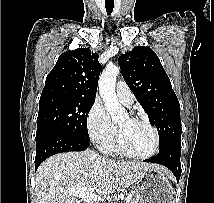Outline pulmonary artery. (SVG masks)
I'll return each mask as SVG.
<instances>
[{
	"label": "pulmonary artery",
	"instance_id": "e3ab8cb5",
	"mask_svg": "<svg viewBox=\"0 0 214 203\" xmlns=\"http://www.w3.org/2000/svg\"><path fill=\"white\" fill-rule=\"evenodd\" d=\"M116 93L121 102L125 105H131L133 103V94L124 81L117 82Z\"/></svg>",
	"mask_w": 214,
	"mask_h": 203
}]
</instances>
